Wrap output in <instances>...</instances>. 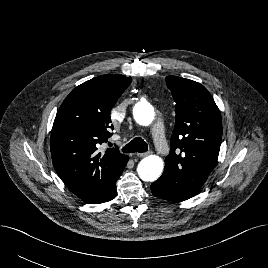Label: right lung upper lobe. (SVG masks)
Returning a JSON list of instances; mask_svg holds the SVG:
<instances>
[{"instance_id": "cb5924a9", "label": "right lung upper lobe", "mask_w": 268, "mask_h": 268, "mask_svg": "<svg viewBox=\"0 0 268 268\" xmlns=\"http://www.w3.org/2000/svg\"><path fill=\"white\" fill-rule=\"evenodd\" d=\"M131 77L102 75L77 86L61 104L51 132L54 168L64 184L87 203L107 192L128 160L116 148H98L112 136L110 111Z\"/></svg>"}]
</instances>
